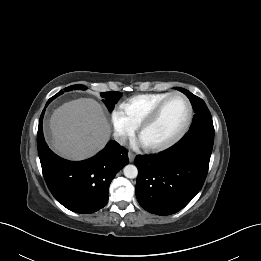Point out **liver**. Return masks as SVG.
<instances>
[{
  "label": "liver",
  "instance_id": "1",
  "mask_svg": "<svg viewBox=\"0 0 261 261\" xmlns=\"http://www.w3.org/2000/svg\"><path fill=\"white\" fill-rule=\"evenodd\" d=\"M50 129L53 149L71 160L95 155L111 134L102 107L90 98L72 100L58 107L51 116Z\"/></svg>",
  "mask_w": 261,
  "mask_h": 261
}]
</instances>
